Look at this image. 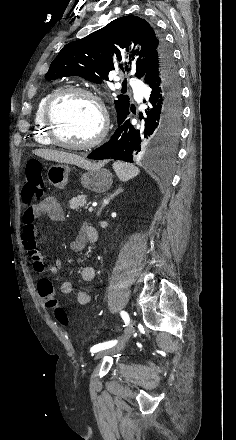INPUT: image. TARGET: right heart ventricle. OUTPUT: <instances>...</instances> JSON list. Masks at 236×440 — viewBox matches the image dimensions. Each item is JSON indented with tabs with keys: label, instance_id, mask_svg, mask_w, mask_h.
Returning a JSON list of instances; mask_svg holds the SVG:
<instances>
[{
	"label": "right heart ventricle",
	"instance_id": "obj_1",
	"mask_svg": "<svg viewBox=\"0 0 236 440\" xmlns=\"http://www.w3.org/2000/svg\"><path fill=\"white\" fill-rule=\"evenodd\" d=\"M56 90H53L51 92H48L45 94L38 102L35 112H34V127H33V137L34 140L41 145L45 146H51L53 145L52 141L49 139L45 127L43 125L42 121V115L44 106L48 100V98L55 92Z\"/></svg>",
	"mask_w": 236,
	"mask_h": 440
}]
</instances>
